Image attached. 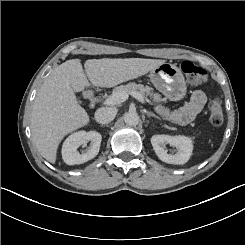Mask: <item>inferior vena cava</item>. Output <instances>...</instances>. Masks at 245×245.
<instances>
[{
    "label": "inferior vena cava",
    "instance_id": "inferior-vena-cava-1",
    "mask_svg": "<svg viewBox=\"0 0 245 245\" xmlns=\"http://www.w3.org/2000/svg\"><path fill=\"white\" fill-rule=\"evenodd\" d=\"M116 113L114 108L102 107L95 112V119L100 124H107L115 118Z\"/></svg>",
    "mask_w": 245,
    "mask_h": 245
}]
</instances>
